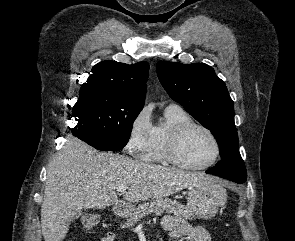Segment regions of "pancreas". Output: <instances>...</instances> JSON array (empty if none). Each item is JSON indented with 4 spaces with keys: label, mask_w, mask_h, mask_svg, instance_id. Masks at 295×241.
<instances>
[{
    "label": "pancreas",
    "mask_w": 295,
    "mask_h": 241,
    "mask_svg": "<svg viewBox=\"0 0 295 241\" xmlns=\"http://www.w3.org/2000/svg\"><path fill=\"white\" fill-rule=\"evenodd\" d=\"M163 212L172 213L177 217L191 220L194 217L193 212L183 204L171 201L169 199H157L150 203L140 204L138 207H132L127 216V221L123 228L132 227L137 224L143 217L155 213L161 215Z\"/></svg>",
    "instance_id": "obj_1"
}]
</instances>
